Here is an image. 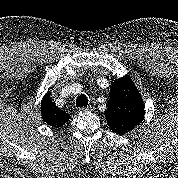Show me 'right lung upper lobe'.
Instances as JSON below:
<instances>
[{"label": "right lung upper lobe", "instance_id": "obj_1", "mask_svg": "<svg viewBox=\"0 0 178 178\" xmlns=\"http://www.w3.org/2000/svg\"><path fill=\"white\" fill-rule=\"evenodd\" d=\"M41 115L44 122L55 128L63 126L70 119V115L58 108L48 94L41 101Z\"/></svg>", "mask_w": 178, "mask_h": 178}]
</instances>
